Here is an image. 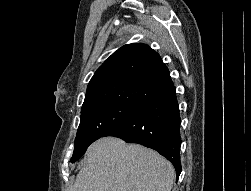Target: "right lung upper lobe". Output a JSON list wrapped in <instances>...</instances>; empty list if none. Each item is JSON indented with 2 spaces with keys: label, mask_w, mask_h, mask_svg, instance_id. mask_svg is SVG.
<instances>
[{
  "label": "right lung upper lobe",
  "mask_w": 251,
  "mask_h": 191,
  "mask_svg": "<svg viewBox=\"0 0 251 191\" xmlns=\"http://www.w3.org/2000/svg\"><path fill=\"white\" fill-rule=\"evenodd\" d=\"M173 86L169 70L158 53L146 44H127L95 72L82 110L112 102L143 107Z\"/></svg>",
  "instance_id": "right-lung-upper-lobe-1"
}]
</instances>
